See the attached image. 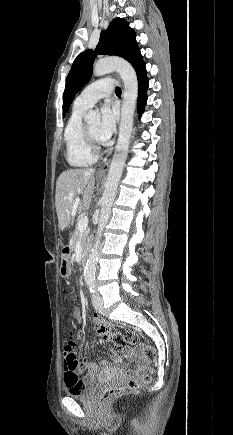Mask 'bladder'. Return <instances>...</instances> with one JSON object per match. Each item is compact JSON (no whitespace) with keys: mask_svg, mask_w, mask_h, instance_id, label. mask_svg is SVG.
I'll list each match as a JSON object with an SVG mask.
<instances>
[{"mask_svg":"<svg viewBox=\"0 0 233 435\" xmlns=\"http://www.w3.org/2000/svg\"><path fill=\"white\" fill-rule=\"evenodd\" d=\"M99 385H100V383L97 381L90 382V383H87L81 391H78L75 393L67 392V394L69 397H71L75 400L88 401L94 397Z\"/></svg>","mask_w":233,"mask_h":435,"instance_id":"obj_1","label":"bladder"}]
</instances>
